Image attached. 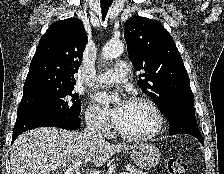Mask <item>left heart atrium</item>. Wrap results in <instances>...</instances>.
<instances>
[{
	"mask_svg": "<svg viewBox=\"0 0 224 174\" xmlns=\"http://www.w3.org/2000/svg\"><path fill=\"white\" fill-rule=\"evenodd\" d=\"M99 102L103 105L105 112L112 119V121L119 126L126 113L129 103L122 102L119 105L112 107L110 103L112 101L111 95L107 93H101L98 95Z\"/></svg>",
	"mask_w": 224,
	"mask_h": 174,
	"instance_id": "39dd6f15",
	"label": "left heart atrium"
}]
</instances>
